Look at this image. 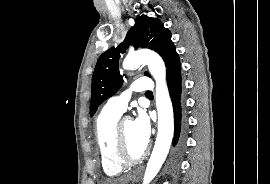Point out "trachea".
<instances>
[{
    "label": "trachea",
    "instance_id": "3493384b",
    "mask_svg": "<svg viewBox=\"0 0 270 184\" xmlns=\"http://www.w3.org/2000/svg\"><path fill=\"white\" fill-rule=\"evenodd\" d=\"M146 95H152V92H147Z\"/></svg>",
    "mask_w": 270,
    "mask_h": 184
}]
</instances>
